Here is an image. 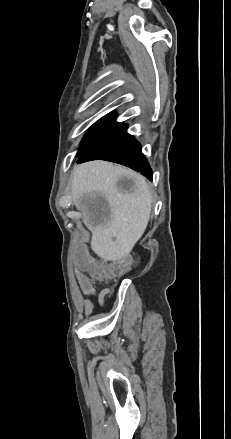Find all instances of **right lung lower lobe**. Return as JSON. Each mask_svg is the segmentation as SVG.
<instances>
[{"mask_svg":"<svg viewBox=\"0 0 231 439\" xmlns=\"http://www.w3.org/2000/svg\"><path fill=\"white\" fill-rule=\"evenodd\" d=\"M127 127V124L120 125L103 141L81 155L77 163L98 159L111 161L141 172L152 180V170L141 151V145L126 132Z\"/></svg>","mask_w":231,"mask_h":439,"instance_id":"1","label":"right lung lower lobe"}]
</instances>
